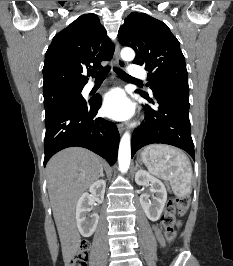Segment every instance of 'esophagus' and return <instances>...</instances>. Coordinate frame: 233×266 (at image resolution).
<instances>
[{"mask_svg":"<svg viewBox=\"0 0 233 266\" xmlns=\"http://www.w3.org/2000/svg\"><path fill=\"white\" fill-rule=\"evenodd\" d=\"M114 58H115V62H116L118 67H120V68L125 67V62L120 57V46L118 43H116V47H115V51H114ZM118 131L120 134L123 133V131H124L123 124H118Z\"/></svg>","mask_w":233,"mask_h":266,"instance_id":"obj_1","label":"esophagus"}]
</instances>
